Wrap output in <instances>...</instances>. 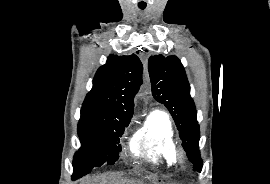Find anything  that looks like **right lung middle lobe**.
Wrapping results in <instances>:
<instances>
[{
	"label": "right lung middle lobe",
	"instance_id": "right-lung-middle-lobe-1",
	"mask_svg": "<svg viewBox=\"0 0 270 184\" xmlns=\"http://www.w3.org/2000/svg\"><path fill=\"white\" fill-rule=\"evenodd\" d=\"M130 121H115L95 117L82 107L78 134L82 147L73 159V179L90 173L104 163L114 164L121 151L120 137Z\"/></svg>",
	"mask_w": 270,
	"mask_h": 184
}]
</instances>
